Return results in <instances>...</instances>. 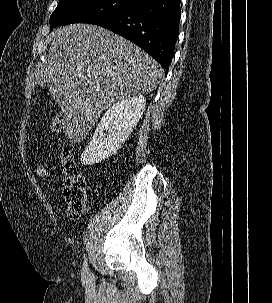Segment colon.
<instances>
[{"mask_svg": "<svg viewBox=\"0 0 272 303\" xmlns=\"http://www.w3.org/2000/svg\"><path fill=\"white\" fill-rule=\"evenodd\" d=\"M51 131L54 134L61 133L62 125L60 117L55 116L52 119ZM61 163L65 175L62 188L63 197L70 217L77 219L83 212L87 199V190L82 171L68 148L62 150ZM33 171L35 176L41 180H47L51 175L49 166L40 160L35 161Z\"/></svg>", "mask_w": 272, "mask_h": 303, "instance_id": "5ec220e1", "label": "colon"}]
</instances>
